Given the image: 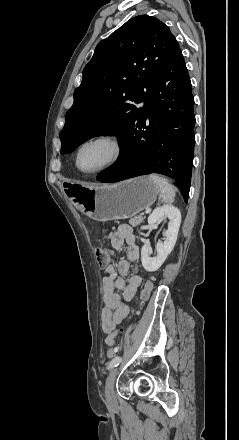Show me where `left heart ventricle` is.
Instances as JSON below:
<instances>
[{
  "instance_id": "1",
  "label": "left heart ventricle",
  "mask_w": 239,
  "mask_h": 440,
  "mask_svg": "<svg viewBox=\"0 0 239 440\" xmlns=\"http://www.w3.org/2000/svg\"><path fill=\"white\" fill-rule=\"evenodd\" d=\"M112 153V147L107 142L91 143L81 151L79 167L83 171L98 169L110 160Z\"/></svg>"
}]
</instances>
